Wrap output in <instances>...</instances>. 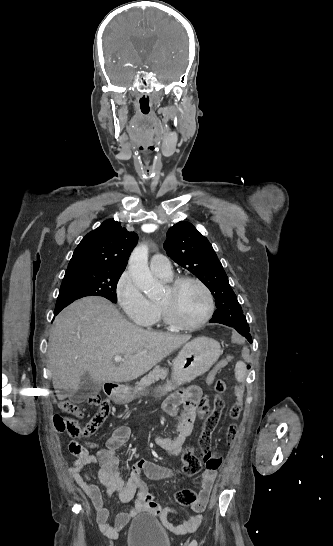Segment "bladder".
Returning <instances> with one entry per match:
<instances>
[{
  "mask_svg": "<svg viewBox=\"0 0 333 546\" xmlns=\"http://www.w3.org/2000/svg\"><path fill=\"white\" fill-rule=\"evenodd\" d=\"M128 546H171L160 521L152 514L137 516L127 534Z\"/></svg>",
  "mask_w": 333,
  "mask_h": 546,
  "instance_id": "bladder-1",
  "label": "bladder"
}]
</instances>
